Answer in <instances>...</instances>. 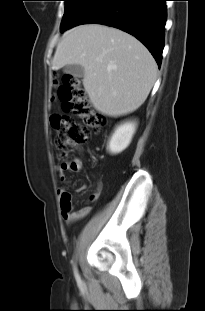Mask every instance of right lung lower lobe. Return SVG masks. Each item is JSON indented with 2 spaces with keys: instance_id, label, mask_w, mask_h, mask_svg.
I'll use <instances>...</instances> for the list:
<instances>
[{
  "instance_id": "1",
  "label": "right lung lower lobe",
  "mask_w": 205,
  "mask_h": 311,
  "mask_svg": "<svg viewBox=\"0 0 205 311\" xmlns=\"http://www.w3.org/2000/svg\"><path fill=\"white\" fill-rule=\"evenodd\" d=\"M166 1L91 0L71 27L96 23L121 29L140 40L160 66L164 48Z\"/></svg>"
}]
</instances>
